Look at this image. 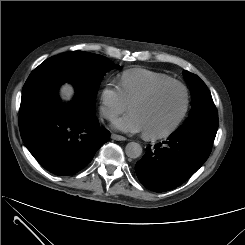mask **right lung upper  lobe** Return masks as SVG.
I'll return each instance as SVG.
<instances>
[{"label":"right lung upper lobe","mask_w":245,"mask_h":245,"mask_svg":"<svg viewBox=\"0 0 245 245\" xmlns=\"http://www.w3.org/2000/svg\"><path fill=\"white\" fill-rule=\"evenodd\" d=\"M28 78L29 81H33L37 86L49 85L53 88L55 84L63 82L66 75L63 71L53 67L49 60H46L33 70ZM57 101L59 100L55 102Z\"/></svg>","instance_id":"obj_1"}]
</instances>
